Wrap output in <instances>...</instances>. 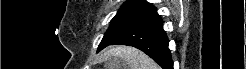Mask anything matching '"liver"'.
<instances>
[{
	"label": "liver",
	"mask_w": 246,
	"mask_h": 69,
	"mask_svg": "<svg viewBox=\"0 0 246 69\" xmlns=\"http://www.w3.org/2000/svg\"><path fill=\"white\" fill-rule=\"evenodd\" d=\"M104 60L119 58L117 69H159V66L142 51L130 46H116L108 49Z\"/></svg>",
	"instance_id": "liver-1"
}]
</instances>
